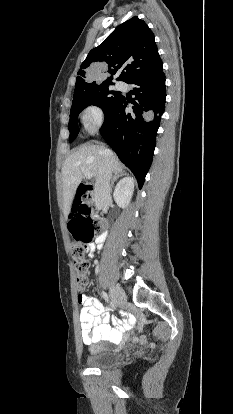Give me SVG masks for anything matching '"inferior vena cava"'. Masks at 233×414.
<instances>
[{
  "label": "inferior vena cava",
  "mask_w": 233,
  "mask_h": 414,
  "mask_svg": "<svg viewBox=\"0 0 233 414\" xmlns=\"http://www.w3.org/2000/svg\"><path fill=\"white\" fill-rule=\"evenodd\" d=\"M112 177V159L107 157L99 174L96 177L95 183V206L97 210H101L102 207L110 199V180Z\"/></svg>",
  "instance_id": "inferior-vena-cava-1"
}]
</instances>
